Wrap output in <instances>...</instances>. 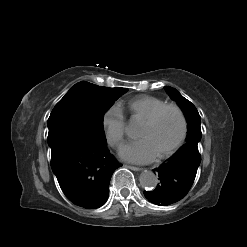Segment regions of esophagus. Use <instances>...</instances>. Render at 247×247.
<instances>
[{"instance_id":"34e87169","label":"esophagus","mask_w":247,"mask_h":247,"mask_svg":"<svg viewBox=\"0 0 247 247\" xmlns=\"http://www.w3.org/2000/svg\"><path fill=\"white\" fill-rule=\"evenodd\" d=\"M127 168L133 170V171H140L142 170V168L139 167H135V166H131V165H126Z\"/></svg>"}]
</instances>
